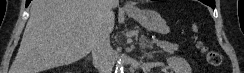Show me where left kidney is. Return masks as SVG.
<instances>
[{
    "instance_id": "obj_1",
    "label": "left kidney",
    "mask_w": 244,
    "mask_h": 73,
    "mask_svg": "<svg viewBox=\"0 0 244 73\" xmlns=\"http://www.w3.org/2000/svg\"><path fill=\"white\" fill-rule=\"evenodd\" d=\"M170 73H192V69L188 62L182 57H169L167 59Z\"/></svg>"
}]
</instances>
